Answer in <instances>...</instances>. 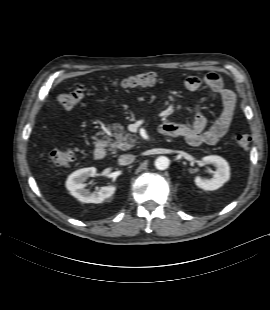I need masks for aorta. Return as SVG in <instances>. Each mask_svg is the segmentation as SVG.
I'll use <instances>...</instances> for the list:
<instances>
[{"instance_id": "aorta-1", "label": "aorta", "mask_w": 270, "mask_h": 310, "mask_svg": "<svg viewBox=\"0 0 270 310\" xmlns=\"http://www.w3.org/2000/svg\"><path fill=\"white\" fill-rule=\"evenodd\" d=\"M169 166V159L165 156H160L155 160V167L158 170H165Z\"/></svg>"}]
</instances>
